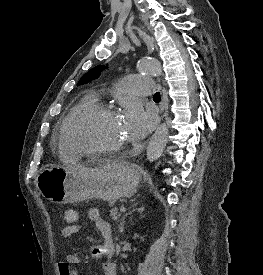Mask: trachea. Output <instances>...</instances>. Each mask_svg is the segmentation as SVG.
<instances>
[{
  "instance_id": "1",
  "label": "trachea",
  "mask_w": 263,
  "mask_h": 275,
  "mask_svg": "<svg viewBox=\"0 0 263 275\" xmlns=\"http://www.w3.org/2000/svg\"><path fill=\"white\" fill-rule=\"evenodd\" d=\"M154 99H160V93L156 92L153 96Z\"/></svg>"
}]
</instances>
